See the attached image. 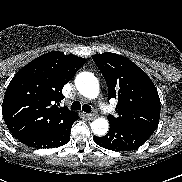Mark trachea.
<instances>
[{
  "label": "trachea",
  "instance_id": "obj_1",
  "mask_svg": "<svg viewBox=\"0 0 182 182\" xmlns=\"http://www.w3.org/2000/svg\"><path fill=\"white\" fill-rule=\"evenodd\" d=\"M86 112V113H90L92 111L91 107L87 104H84L83 106L81 105V103L79 101H74L71 105V110H81Z\"/></svg>",
  "mask_w": 182,
  "mask_h": 182
}]
</instances>
